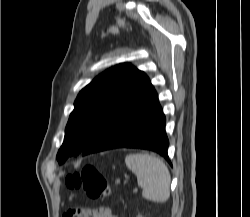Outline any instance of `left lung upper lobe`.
<instances>
[{"label":"left lung upper lobe","mask_w":250,"mask_h":217,"mask_svg":"<svg viewBox=\"0 0 250 217\" xmlns=\"http://www.w3.org/2000/svg\"><path fill=\"white\" fill-rule=\"evenodd\" d=\"M146 77L125 63L106 70L83 88L66 125L58 162L62 164L88 148Z\"/></svg>","instance_id":"5c2ea615"}]
</instances>
